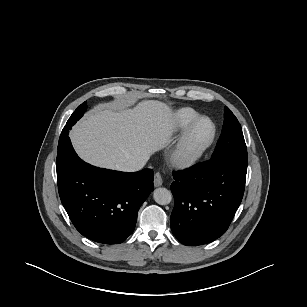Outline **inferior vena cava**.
<instances>
[{
    "mask_svg": "<svg viewBox=\"0 0 307 307\" xmlns=\"http://www.w3.org/2000/svg\"><path fill=\"white\" fill-rule=\"evenodd\" d=\"M146 164V160H141L138 162H133V163H129L125 166H122L119 168V170L121 171H125V172H134V171H138L141 170L144 165Z\"/></svg>",
    "mask_w": 307,
    "mask_h": 307,
    "instance_id": "602c4592",
    "label": "inferior vena cava"
}]
</instances>
